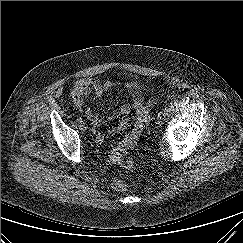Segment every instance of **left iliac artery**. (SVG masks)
<instances>
[{"label":"left iliac artery","mask_w":243,"mask_h":243,"mask_svg":"<svg viewBox=\"0 0 243 243\" xmlns=\"http://www.w3.org/2000/svg\"><path fill=\"white\" fill-rule=\"evenodd\" d=\"M162 116V112H160L159 114H158V117H161Z\"/></svg>","instance_id":"obj_1"}]
</instances>
